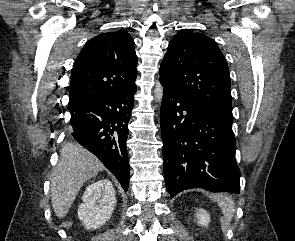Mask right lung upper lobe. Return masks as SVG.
I'll return each mask as SVG.
<instances>
[{
	"instance_id": "cb5924a9",
	"label": "right lung upper lobe",
	"mask_w": 295,
	"mask_h": 241,
	"mask_svg": "<svg viewBox=\"0 0 295 241\" xmlns=\"http://www.w3.org/2000/svg\"><path fill=\"white\" fill-rule=\"evenodd\" d=\"M134 40L124 30L100 34L86 43L71 71V109L90 98L135 85Z\"/></svg>"
}]
</instances>
